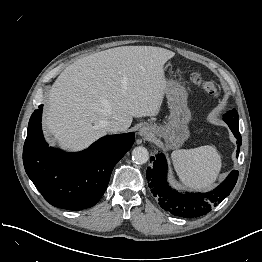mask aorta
Masks as SVG:
<instances>
[{"instance_id":"762f6f07","label":"aorta","mask_w":262,"mask_h":262,"mask_svg":"<svg viewBox=\"0 0 262 262\" xmlns=\"http://www.w3.org/2000/svg\"><path fill=\"white\" fill-rule=\"evenodd\" d=\"M149 159V152L148 150L143 146L135 147L132 151V160L136 164H144Z\"/></svg>"}]
</instances>
